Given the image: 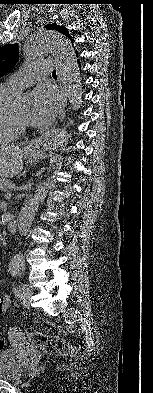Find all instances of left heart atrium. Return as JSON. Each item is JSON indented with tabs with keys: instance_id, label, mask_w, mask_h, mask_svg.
I'll return each mask as SVG.
<instances>
[{
	"instance_id": "obj_1",
	"label": "left heart atrium",
	"mask_w": 153,
	"mask_h": 393,
	"mask_svg": "<svg viewBox=\"0 0 153 393\" xmlns=\"http://www.w3.org/2000/svg\"><path fill=\"white\" fill-rule=\"evenodd\" d=\"M59 107V96L56 92L37 89L34 92L33 105L29 115L32 126L49 125L55 118Z\"/></svg>"
}]
</instances>
